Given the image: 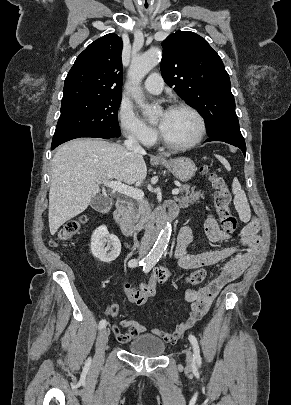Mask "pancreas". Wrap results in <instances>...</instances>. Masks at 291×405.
<instances>
[{
	"label": "pancreas",
	"mask_w": 291,
	"mask_h": 405,
	"mask_svg": "<svg viewBox=\"0 0 291 405\" xmlns=\"http://www.w3.org/2000/svg\"><path fill=\"white\" fill-rule=\"evenodd\" d=\"M200 198H204L203 193L194 192L189 187H183L182 195L175 197L176 202L181 208H187L190 204L199 202ZM151 207L147 201H138L130 213V222L134 229L141 230L144 224L150 219Z\"/></svg>",
	"instance_id": "1"
}]
</instances>
